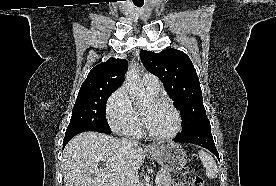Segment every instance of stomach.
<instances>
[{
  "label": "stomach",
  "mask_w": 276,
  "mask_h": 186,
  "mask_svg": "<svg viewBox=\"0 0 276 186\" xmlns=\"http://www.w3.org/2000/svg\"><path fill=\"white\" fill-rule=\"evenodd\" d=\"M149 153L161 167L170 172L181 170L187 162L185 150L177 143H168L159 148H152Z\"/></svg>",
  "instance_id": "0dacf381"
}]
</instances>
